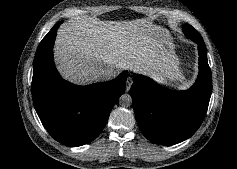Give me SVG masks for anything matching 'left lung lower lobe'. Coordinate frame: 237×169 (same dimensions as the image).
<instances>
[{"mask_svg": "<svg viewBox=\"0 0 237 169\" xmlns=\"http://www.w3.org/2000/svg\"><path fill=\"white\" fill-rule=\"evenodd\" d=\"M195 41L199 52V75L186 91H171L148 77L134 75L130 89L135 116L144 136L160 145H173L191 137L201 125L212 92V76L202 38Z\"/></svg>", "mask_w": 237, "mask_h": 169, "instance_id": "left-lung-lower-lobe-1", "label": "left lung lower lobe"}]
</instances>
